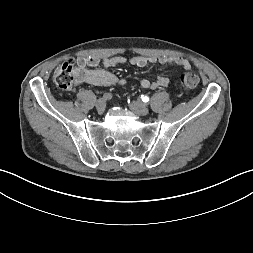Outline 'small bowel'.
Returning a JSON list of instances; mask_svg holds the SVG:
<instances>
[{
	"label": "small bowel",
	"mask_w": 253,
	"mask_h": 253,
	"mask_svg": "<svg viewBox=\"0 0 253 253\" xmlns=\"http://www.w3.org/2000/svg\"><path fill=\"white\" fill-rule=\"evenodd\" d=\"M80 67L76 73L77 83H87L93 86H123L127 84V80L118 78L116 75L108 71V68L123 65L129 62L131 65L144 68L149 64L160 63L161 65H177L184 70L191 68L190 62L182 57H142L136 56L127 59L124 56H114L100 60L98 57L83 56L78 59ZM144 89H158L169 85V79L159 74L155 80L141 79L138 83Z\"/></svg>",
	"instance_id": "c3829d8e"
}]
</instances>
